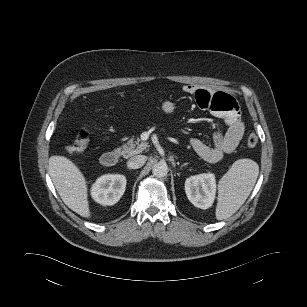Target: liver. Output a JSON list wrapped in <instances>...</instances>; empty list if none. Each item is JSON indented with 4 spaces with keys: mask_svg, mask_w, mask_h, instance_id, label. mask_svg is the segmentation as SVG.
Returning <instances> with one entry per match:
<instances>
[{
    "mask_svg": "<svg viewBox=\"0 0 307 307\" xmlns=\"http://www.w3.org/2000/svg\"><path fill=\"white\" fill-rule=\"evenodd\" d=\"M49 174L63 202L80 216L89 218L87 185L79 168L66 157L52 156Z\"/></svg>",
    "mask_w": 307,
    "mask_h": 307,
    "instance_id": "1",
    "label": "liver"
}]
</instances>
